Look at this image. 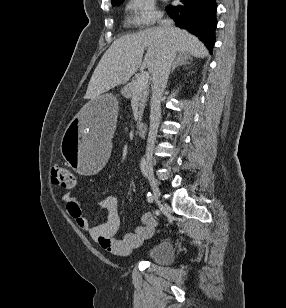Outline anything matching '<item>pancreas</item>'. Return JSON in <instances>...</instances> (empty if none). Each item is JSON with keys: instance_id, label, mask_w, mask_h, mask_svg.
I'll list each match as a JSON object with an SVG mask.
<instances>
[{"instance_id": "pancreas-1", "label": "pancreas", "mask_w": 286, "mask_h": 308, "mask_svg": "<svg viewBox=\"0 0 286 308\" xmlns=\"http://www.w3.org/2000/svg\"><path fill=\"white\" fill-rule=\"evenodd\" d=\"M137 79L133 80L131 83L127 84L122 90L121 94L127 99L137 98L139 103V112L137 117V123L142 120L143 110L146 106L149 95V85L146 84L142 89L136 88Z\"/></svg>"}]
</instances>
